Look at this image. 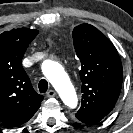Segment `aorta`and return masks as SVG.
Returning a JSON list of instances; mask_svg holds the SVG:
<instances>
[{"label":"aorta","mask_w":133,"mask_h":133,"mask_svg":"<svg viewBox=\"0 0 133 133\" xmlns=\"http://www.w3.org/2000/svg\"><path fill=\"white\" fill-rule=\"evenodd\" d=\"M42 72L59 93L64 104L70 108H75L78 98L63 67L58 62L46 60L42 64Z\"/></svg>","instance_id":"aorta-1"}]
</instances>
